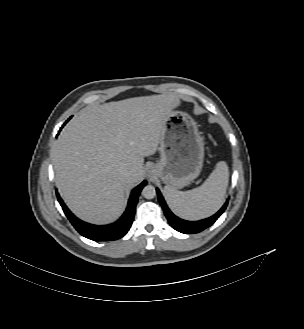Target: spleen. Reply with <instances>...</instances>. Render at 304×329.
<instances>
[{"instance_id":"3e777b00","label":"spleen","mask_w":304,"mask_h":329,"mask_svg":"<svg viewBox=\"0 0 304 329\" xmlns=\"http://www.w3.org/2000/svg\"><path fill=\"white\" fill-rule=\"evenodd\" d=\"M229 181V169L224 161L217 163L205 182L189 191L165 187V195L172 211L186 220L211 216L223 204Z\"/></svg>"}]
</instances>
